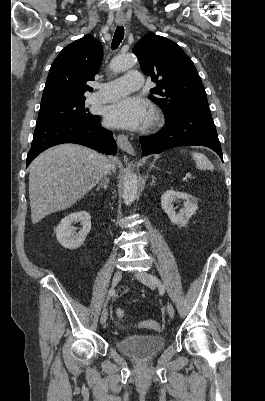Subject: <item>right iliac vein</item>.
<instances>
[{"mask_svg":"<svg viewBox=\"0 0 265 401\" xmlns=\"http://www.w3.org/2000/svg\"><path fill=\"white\" fill-rule=\"evenodd\" d=\"M122 271L121 270H117L115 273H114V276H113V281H112V285L113 286H116L119 282H120V280H121V278H122ZM107 316H108V313H107V309L105 308L103 311H102V314H101V317H100V322H101V324L102 325H104L105 323H106V321H107Z\"/></svg>","mask_w":265,"mask_h":401,"instance_id":"right-iliac-vein-1","label":"right iliac vein"}]
</instances>
